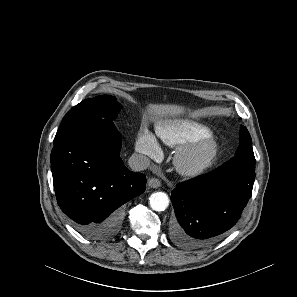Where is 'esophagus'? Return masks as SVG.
<instances>
[{"label": "esophagus", "instance_id": "esophagus-1", "mask_svg": "<svg viewBox=\"0 0 297 297\" xmlns=\"http://www.w3.org/2000/svg\"><path fill=\"white\" fill-rule=\"evenodd\" d=\"M147 185L150 188H159L161 186V182L157 178H150L147 182Z\"/></svg>", "mask_w": 297, "mask_h": 297}]
</instances>
